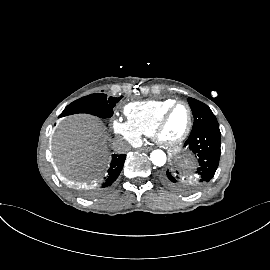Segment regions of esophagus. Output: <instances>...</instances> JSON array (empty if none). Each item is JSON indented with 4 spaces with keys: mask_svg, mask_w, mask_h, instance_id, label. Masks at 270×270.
Segmentation results:
<instances>
[{
    "mask_svg": "<svg viewBox=\"0 0 270 270\" xmlns=\"http://www.w3.org/2000/svg\"><path fill=\"white\" fill-rule=\"evenodd\" d=\"M140 150L143 152H150L152 150V148L151 147H142Z\"/></svg>",
    "mask_w": 270,
    "mask_h": 270,
    "instance_id": "34e87169",
    "label": "esophagus"
}]
</instances>
